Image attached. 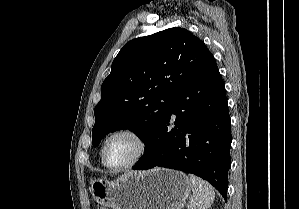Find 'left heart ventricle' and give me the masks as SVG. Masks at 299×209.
I'll return each mask as SVG.
<instances>
[{
  "instance_id": "left-heart-ventricle-1",
  "label": "left heart ventricle",
  "mask_w": 299,
  "mask_h": 209,
  "mask_svg": "<svg viewBox=\"0 0 299 209\" xmlns=\"http://www.w3.org/2000/svg\"><path fill=\"white\" fill-rule=\"evenodd\" d=\"M138 149L136 141L126 135L113 138L106 150V161L110 166H121L128 163Z\"/></svg>"
}]
</instances>
